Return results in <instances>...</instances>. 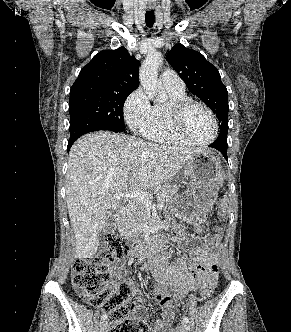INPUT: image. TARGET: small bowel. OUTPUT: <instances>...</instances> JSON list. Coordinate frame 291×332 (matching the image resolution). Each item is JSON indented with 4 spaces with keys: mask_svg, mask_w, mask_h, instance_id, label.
Masks as SVG:
<instances>
[{
    "mask_svg": "<svg viewBox=\"0 0 291 332\" xmlns=\"http://www.w3.org/2000/svg\"><path fill=\"white\" fill-rule=\"evenodd\" d=\"M194 225L199 233L203 232L199 222H195ZM174 231L176 242L179 245H185L188 242L185 226L178 224L174 227ZM221 236V228L217 227L214 235L202 238V245L187 256H179L174 263H170L173 251H163L160 258L152 262L146 269L152 272L156 281L154 294L162 309L161 316L150 330L143 321L145 307L142 299L138 297V307L133 319L144 324L148 332H174L172 329L173 301L185 298L190 291L203 288L216 279L217 264L214 250L219 244ZM188 259H191L194 264L189 266ZM114 272L116 278L120 279L124 273L123 266H115Z\"/></svg>",
    "mask_w": 291,
    "mask_h": 332,
    "instance_id": "small-bowel-1",
    "label": "small bowel"
}]
</instances>
